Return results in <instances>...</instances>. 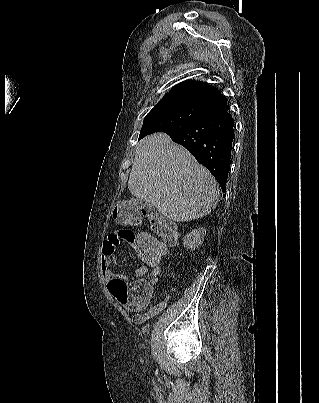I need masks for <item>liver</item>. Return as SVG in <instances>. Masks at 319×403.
Masks as SVG:
<instances>
[{
  "instance_id": "obj_1",
  "label": "liver",
  "mask_w": 319,
  "mask_h": 403,
  "mask_svg": "<svg viewBox=\"0 0 319 403\" xmlns=\"http://www.w3.org/2000/svg\"><path fill=\"white\" fill-rule=\"evenodd\" d=\"M130 193L176 222L209 214L219 196L211 173L165 133H154L136 146Z\"/></svg>"
}]
</instances>
